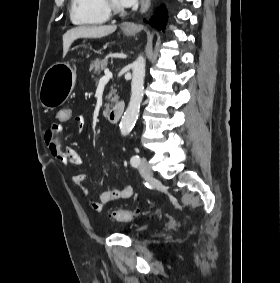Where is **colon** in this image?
Wrapping results in <instances>:
<instances>
[{
    "label": "colon",
    "instance_id": "colon-1",
    "mask_svg": "<svg viewBox=\"0 0 280 283\" xmlns=\"http://www.w3.org/2000/svg\"><path fill=\"white\" fill-rule=\"evenodd\" d=\"M55 118L58 119V122H61L62 125H65L66 122H71L72 119V111L71 107L65 105L64 107H60L56 111ZM138 212H133L129 210H115L110 214V217L116 221H130L132 220Z\"/></svg>",
    "mask_w": 280,
    "mask_h": 283
}]
</instances>
